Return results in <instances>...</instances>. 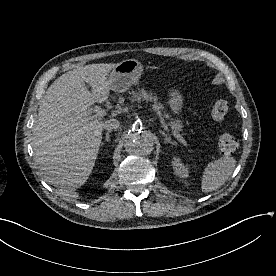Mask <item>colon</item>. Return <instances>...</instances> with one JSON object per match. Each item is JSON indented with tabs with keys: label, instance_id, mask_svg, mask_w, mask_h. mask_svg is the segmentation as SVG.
<instances>
[{
	"label": "colon",
	"instance_id": "5ec220e1",
	"mask_svg": "<svg viewBox=\"0 0 276 276\" xmlns=\"http://www.w3.org/2000/svg\"><path fill=\"white\" fill-rule=\"evenodd\" d=\"M229 112V103L223 98L215 99L210 107L211 117L220 121L223 120ZM238 148L237 139L230 133H222L218 138V150L223 155H230Z\"/></svg>",
	"mask_w": 276,
	"mask_h": 276
}]
</instances>
